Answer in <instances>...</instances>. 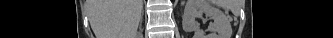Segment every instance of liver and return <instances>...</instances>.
Here are the masks:
<instances>
[{
	"label": "liver",
	"instance_id": "liver-1",
	"mask_svg": "<svg viewBox=\"0 0 333 38\" xmlns=\"http://www.w3.org/2000/svg\"><path fill=\"white\" fill-rule=\"evenodd\" d=\"M143 0H89L88 16L96 38H135Z\"/></svg>",
	"mask_w": 333,
	"mask_h": 38
}]
</instances>
